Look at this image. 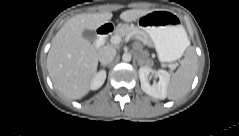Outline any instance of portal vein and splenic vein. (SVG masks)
Here are the masks:
<instances>
[{
    "mask_svg": "<svg viewBox=\"0 0 239 136\" xmlns=\"http://www.w3.org/2000/svg\"><path fill=\"white\" fill-rule=\"evenodd\" d=\"M110 42H111V44H113V45H117V44H119V43L121 42V37L118 36V35H114V36H112V37L110 38ZM169 67H170L171 69H174V66H173V65H169Z\"/></svg>",
    "mask_w": 239,
    "mask_h": 136,
    "instance_id": "obj_1",
    "label": "portal vein and splenic vein"
}]
</instances>
